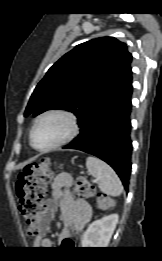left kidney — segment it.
I'll return each instance as SVG.
<instances>
[{
  "instance_id": "1",
  "label": "left kidney",
  "mask_w": 162,
  "mask_h": 261,
  "mask_svg": "<svg viewBox=\"0 0 162 261\" xmlns=\"http://www.w3.org/2000/svg\"><path fill=\"white\" fill-rule=\"evenodd\" d=\"M118 214H110L92 222L84 232L81 242L84 248H105L118 223Z\"/></svg>"
}]
</instances>
